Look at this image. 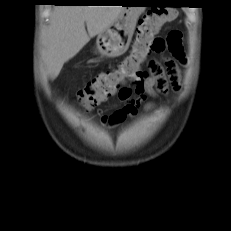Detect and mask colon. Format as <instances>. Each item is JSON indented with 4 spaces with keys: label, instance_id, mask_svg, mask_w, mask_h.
<instances>
[{
    "label": "colon",
    "instance_id": "obj_1",
    "mask_svg": "<svg viewBox=\"0 0 231 231\" xmlns=\"http://www.w3.org/2000/svg\"><path fill=\"white\" fill-rule=\"evenodd\" d=\"M177 16V11L167 7L148 10L139 20L136 37L130 53L117 66L99 73L82 88L78 97L87 108H93L118 93L127 82L141 81L146 77L142 65L152 53L166 49L164 39L157 37L161 27Z\"/></svg>",
    "mask_w": 231,
    "mask_h": 231
}]
</instances>
